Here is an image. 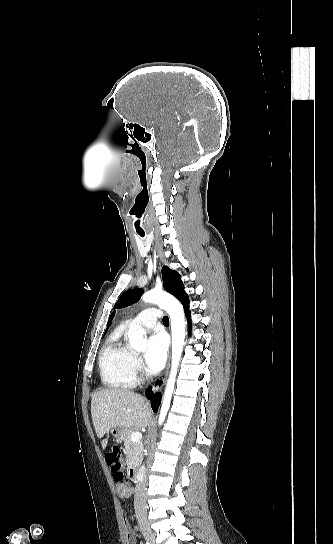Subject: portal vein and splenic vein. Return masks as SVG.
Listing matches in <instances>:
<instances>
[{"label":"portal vein and splenic vein","mask_w":333,"mask_h":544,"mask_svg":"<svg viewBox=\"0 0 333 544\" xmlns=\"http://www.w3.org/2000/svg\"><path fill=\"white\" fill-rule=\"evenodd\" d=\"M141 439H142V433L136 431L131 434V440L133 442H140Z\"/></svg>","instance_id":"18ae733b"}]
</instances>
